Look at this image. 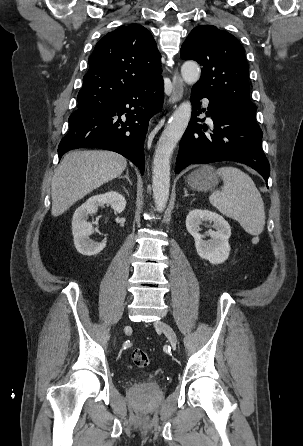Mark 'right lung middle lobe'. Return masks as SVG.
<instances>
[{
  "label": "right lung middle lobe",
  "mask_w": 303,
  "mask_h": 446,
  "mask_svg": "<svg viewBox=\"0 0 303 446\" xmlns=\"http://www.w3.org/2000/svg\"><path fill=\"white\" fill-rule=\"evenodd\" d=\"M82 106V101L78 99V107Z\"/></svg>",
  "instance_id": "dd1d6c3e"
}]
</instances>
